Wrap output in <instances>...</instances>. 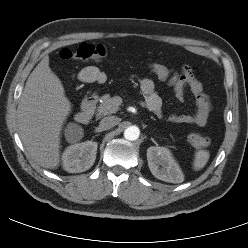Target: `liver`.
<instances>
[{
    "mask_svg": "<svg viewBox=\"0 0 248 248\" xmlns=\"http://www.w3.org/2000/svg\"><path fill=\"white\" fill-rule=\"evenodd\" d=\"M70 112L71 103L46 55L28 77L17 108L20 138L40 166H59L61 130Z\"/></svg>",
    "mask_w": 248,
    "mask_h": 248,
    "instance_id": "liver-1",
    "label": "liver"
}]
</instances>
